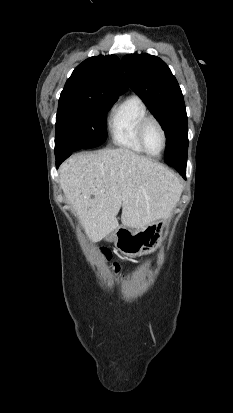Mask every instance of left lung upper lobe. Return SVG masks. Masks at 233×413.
<instances>
[{
	"instance_id": "left-lung-upper-lobe-1",
	"label": "left lung upper lobe",
	"mask_w": 233,
	"mask_h": 413,
	"mask_svg": "<svg viewBox=\"0 0 233 413\" xmlns=\"http://www.w3.org/2000/svg\"><path fill=\"white\" fill-rule=\"evenodd\" d=\"M126 76L160 121L167 137L165 162L186 164L188 150L187 114L182 91L164 61L146 53L123 57Z\"/></svg>"
}]
</instances>
